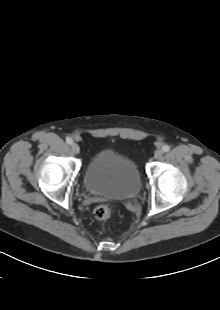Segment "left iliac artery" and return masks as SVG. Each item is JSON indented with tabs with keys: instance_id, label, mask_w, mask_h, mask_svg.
Masks as SVG:
<instances>
[{
	"instance_id": "obj_1",
	"label": "left iliac artery",
	"mask_w": 220,
	"mask_h": 310,
	"mask_svg": "<svg viewBox=\"0 0 220 310\" xmlns=\"http://www.w3.org/2000/svg\"><path fill=\"white\" fill-rule=\"evenodd\" d=\"M162 150H163V152H168V151L170 150V146L164 145V146L162 147Z\"/></svg>"
}]
</instances>
